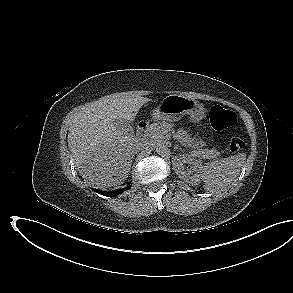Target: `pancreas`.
Returning a JSON list of instances; mask_svg holds the SVG:
<instances>
[{"label":"pancreas","instance_id":"cf45deb5","mask_svg":"<svg viewBox=\"0 0 293 293\" xmlns=\"http://www.w3.org/2000/svg\"><path fill=\"white\" fill-rule=\"evenodd\" d=\"M168 128V124L166 122H157L153 123L149 126L145 133V138L149 141H157L164 137L165 131ZM194 156L206 159L217 158L220 155L216 149H197L192 151Z\"/></svg>","mask_w":293,"mask_h":293}]
</instances>
